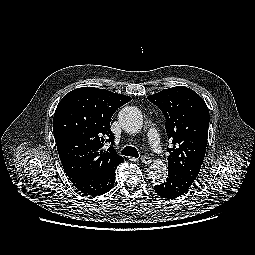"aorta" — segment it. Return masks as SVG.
Instances as JSON below:
<instances>
[{
	"instance_id": "aorta-1",
	"label": "aorta",
	"mask_w": 255,
	"mask_h": 255,
	"mask_svg": "<svg viewBox=\"0 0 255 255\" xmlns=\"http://www.w3.org/2000/svg\"><path fill=\"white\" fill-rule=\"evenodd\" d=\"M118 121L125 132L136 134L142 128L143 116L137 107L126 106L119 111ZM167 174V166L162 160L153 162L148 170V177L154 184L164 182Z\"/></svg>"
}]
</instances>
